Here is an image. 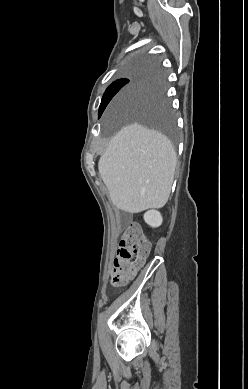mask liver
<instances>
[{
  "instance_id": "obj_1",
  "label": "liver",
  "mask_w": 248,
  "mask_h": 389,
  "mask_svg": "<svg viewBox=\"0 0 248 389\" xmlns=\"http://www.w3.org/2000/svg\"><path fill=\"white\" fill-rule=\"evenodd\" d=\"M116 100L131 103L129 89ZM176 164L171 141L135 123L123 127L111 139L98 169L113 204L122 211L139 213L167 203Z\"/></svg>"
}]
</instances>
